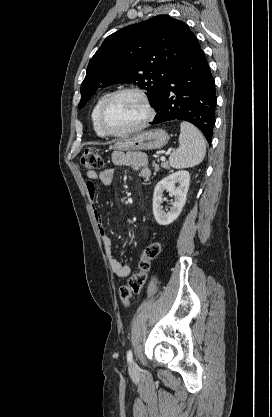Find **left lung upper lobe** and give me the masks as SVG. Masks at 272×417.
<instances>
[{
	"label": "left lung upper lobe",
	"mask_w": 272,
	"mask_h": 417,
	"mask_svg": "<svg viewBox=\"0 0 272 417\" xmlns=\"http://www.w3.org/2000/svg\"><path fill=\"white\" fill-rule=\"evenodd\" d=\"M199 49L189 27L167 15L122 28L108 36L90 60L78 108L84 107L98 88L116 83L146 89L155 108L169 77Z\"/></svg>",
	"instance_id": "obj_1"
}]
</instances>
